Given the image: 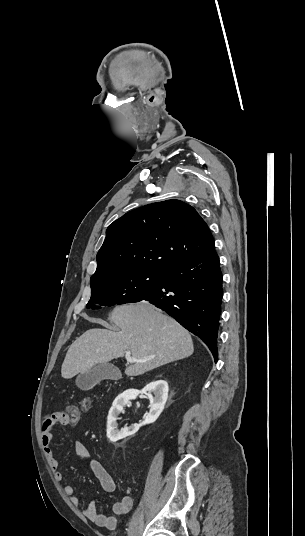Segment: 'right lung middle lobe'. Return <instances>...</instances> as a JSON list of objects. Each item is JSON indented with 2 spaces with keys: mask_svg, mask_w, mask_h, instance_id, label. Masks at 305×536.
I'll use <instances>...</instances> for the list:
<instances>
[{
  "mask_svg": "<svg viewBox=\"0 0 305 536\" xmlns=\"http://www.w3.org/2000/svg\"><path fill=\"white\" fill-rule=\"evenodd\" d=\"M165 272L134 271L120 277L90 281L91 298L87 308L137 302L156 289Z\"/></svg>",
  "mask_w": 305,
  "mask_h": 536,
  "instance_id": "right-lung-middle-lobe-1",
  "label": "right lung middle lobe"
}]
</instances>
